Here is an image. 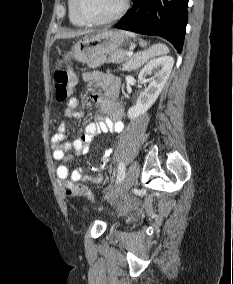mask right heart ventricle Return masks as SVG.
Wrapping results in <instances>:
<instances>
[{
	"label": "right heart ventricle",
	"mask_w": 233,
	"mask_h": 284,
	"mask_svg": "<svg viewBox=\"0 0 233 284\" xmlns=\"http://www.w3.org/2000/svg\"><path fill=\"white\" fill-rule=\"evenodd\" d=\"M76 0H68L67 1V8H68V18L72 25L77 27L85 26L86 23L82 21L75 10Z\"/></svg>",
	"instance_id": "1"
}]
</instances>
